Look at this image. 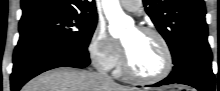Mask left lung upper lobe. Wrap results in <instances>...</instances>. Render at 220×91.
<instances>
[{
  "label": "left lung upper lobe",
  "mask_w": 220,
  "mask_h": 91,
  "mask_svg": "<svg viewBox=\"0 0 220 91\" xmlns=\"http://www.w3.org/2000/svg\"><path fill=\"white\" fill-rule=\"evenodd\" d=\"M143 4L166 40L174 65L186 55L210 51L203 0H143Z\"/></svg>",
  "instance_id": "left-lung-upper-lobe-1"
}]
</instances>
